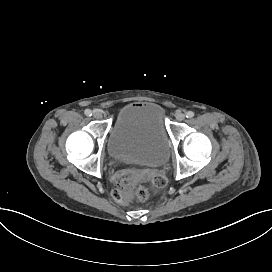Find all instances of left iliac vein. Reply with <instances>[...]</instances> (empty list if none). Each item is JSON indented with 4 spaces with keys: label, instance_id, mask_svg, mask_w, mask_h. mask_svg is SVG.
Listing matches in <instances>:
<instances>
[{
    "label": "left iliac vein",
    "instance_id": "left-iliac-vein-1",
    "mask_svg": "<svg viewBox=\"0 0 272 272\" xmlns=\"http://www.w3.org/2000/svg\"><path fill=\"white\" fill-rule=\"evenodd\" d=\"M175 117H176L177 121H182V120H184L185 115L182 112L177 111Z\"/></svg>",
    "mask_w": 272,
    "mask_h": 272
}]
</instances>
